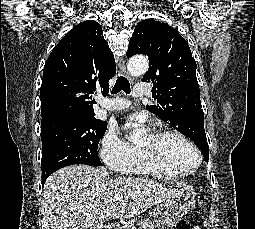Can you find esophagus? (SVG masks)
Returning <instances> with one entry per match:
<instances>
[{
    "mask_svg": "<svg viewBox=\"0 0 255 229\" xmlns=\"http://www.w3.org/2000/svg\"><path fill=\"white\" fill-rule=\"evenodd\" d=\"M119 68H120L121 72L123 73V75L132 82L133 79L128 73L126 63H125V60L123 58L119 59Z\"/></svg>",
    "mask_w": 255,
    "mask_h": 229,
    "instance_id": "obj_1",
    "label": "esophagus"
}]
</instances>
